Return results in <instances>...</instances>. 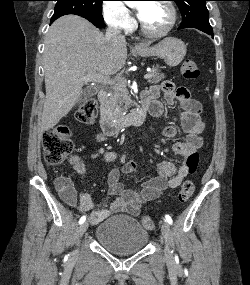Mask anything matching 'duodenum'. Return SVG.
<instances>
[{"instance_id":"duodenum-1","label":"duodenum","mask_w":250,"mask_h":285,"mask_svg":"<svg viewBox=\"0 0 250 285\" xmlns=\"http://www.w3.org/2000/svg\"><path fill=\"white\" fill-rule=\"evenodd\" d=\"M98 99L102 106L100 125L102 131L106 135H113L120 129L130 125L143 124L149 112L147 105L142 102L138 108L130 111L129 113L120 117H113L107 112L106 109L108 93L105 90H101L98 94Z\"/></svg>"}]
</instances>
